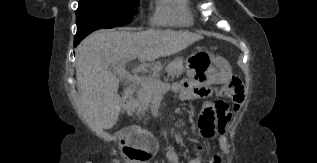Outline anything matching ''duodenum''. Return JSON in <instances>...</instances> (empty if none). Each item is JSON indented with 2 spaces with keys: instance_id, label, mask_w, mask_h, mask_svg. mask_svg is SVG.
<instances>
[{
  "instance_id": "obj_1",
  "label": "duodenum",
  "mask_w": 317,
  "mask_h": 163,
  "mask_svg": "<svg viewBox=\"0 0 317 163\" xmlns=\"http://www.w3.org/2000/svg\"><path fill=\"white\" fill-rule=\"evenodd\" d=\"M133 93L128 91L126 92L123 97H122V106L126 110L132 103L133 101Z\"/></svg>"
}]
</instances>
